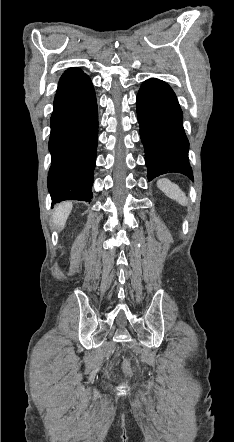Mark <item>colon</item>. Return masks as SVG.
Here are the masks:
<instances>
[{
  "label": "colon",
  "mask_w": 234,
  "mask_h": 442,
  "mask_svg": "<svg viewBox=\"0 0 234 442\" xmlns=\"http://www.w3.org/2000/svg\"><path fill=\"white\" fill-rule=\"evenodd\" d=\"M123 367H124V370L126 373H128V374L131 373V367H130V363L128 360L124 361ZM124 389H125V387H124Z\"/></svg>",
  "instance_id": "1"
}]
</instances>
